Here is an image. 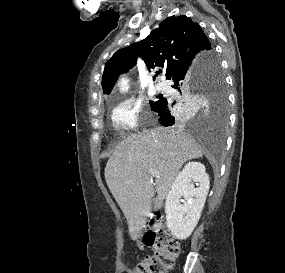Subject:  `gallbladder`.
I'll list each match as a JSON object with an SVG mask.
<instances>
[{
  "label": "gallbladder",
  "mask_w": 285,
  "mask_h": 273,
  "mask_svg": "<svg viewBox=\"0 0 285 273\" xmlns=\"http://www.w3.org/2000/svg\"><path fill=\"white\" fill-rule=\"evenodd\" d=\"M151 206L155 207V206H154V201L151 203Z\"/></svg>",
  "instance_id": "gallbladder-1"
}]
</instances>
